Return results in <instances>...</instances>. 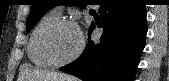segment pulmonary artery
Listing matches in <instances>:
<instances>
[{"label":"pulmonary artery","mask_w":169,"mask_h":81,"mask_svg":"<svg viewBox=\"0 0 169 81\" xmlns=\"http://www.w3.org/2000/svg\"><path fill=\"white\" fill-rule=\"evenodd\" d=\"M54 11H55L56 13H58V14H61V11L58 10V9H55Z\"/></svg>","instance_id":"1"}]
</instances>
